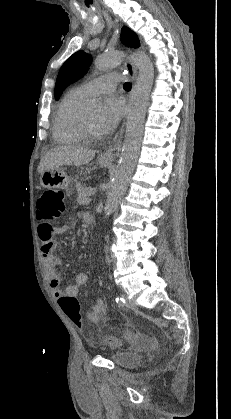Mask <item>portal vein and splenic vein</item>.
Wrapping results in <instances>:
<instances>
[{"label": "portal vein and splenic vein", "instance_id": "portal-vein-and-splenic-vein-1", "mask_svg": "<svg viewBox=\"0 0 231 419\" xmlns=\"http://www.w3.org/2000/svg\"><path fill=\"white\" fill-rule=\"evenodd\" d=\"M95 192H96V190L94 188H92V189L89 190L88 195L89 196L94 195Z\"/></svg>", "mask_w": 231, "mask_h": 419}]
</instances>
